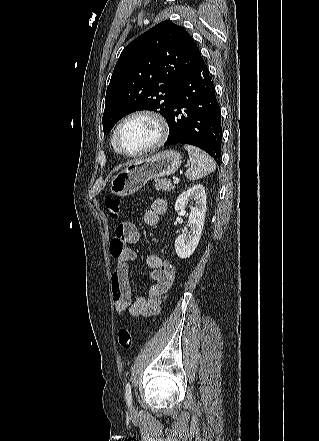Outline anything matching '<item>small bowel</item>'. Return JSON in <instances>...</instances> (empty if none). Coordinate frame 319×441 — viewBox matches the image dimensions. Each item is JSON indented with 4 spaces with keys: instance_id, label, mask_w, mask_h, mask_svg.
Masks as SVG:
<instances>
[{
    "instance_id": "small-bowel-1",
    "label": "small bowel",
    "mask_w": 319,
    "mask_h": 441,
    "mask_svg": "<svg viewBox=\"0 0 319 441\" xmlns=\"http://www.w3.org/2000/svg\"><path fill=\"white\" fill-rule=\"evenodd\" d=\"M166 210V201L161 198L155 199L143 215L144 223L148 226H156ZM139 236L137 227L130 222L121 223L115 229V237L110 243V253L117 261L111 276V295L116 312L127 310L132 317H150L160 311L161 298L174 280V268L159 255L147 256L146 262L151 269L150 276L154 284L149 288L146 296L133 299L129 268L137 255L128 245L138 242Z\"/></svg>"
}]
</instances>
